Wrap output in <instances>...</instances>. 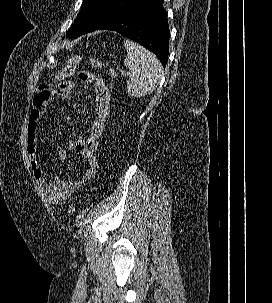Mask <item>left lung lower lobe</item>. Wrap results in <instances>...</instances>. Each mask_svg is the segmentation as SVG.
I'll list each match as a JSON object with an SVG mask.
<instances>
[{"instance_id":"obj_1","label":"left lung lower lobe","mask_w":272,"mask_h":303,"mask_svg":"<svg viewBox=\"0 0 272 303\" xmlns=\"http://www.w3.org/2000/svg\"><path fill=\"white\" fill-rule=\"evenodd\" d=\"M96 30L116 31L155 53L163 66L167 64L170 31L163 0H141L89 32Z\"/></svg>"}]
</instances>
